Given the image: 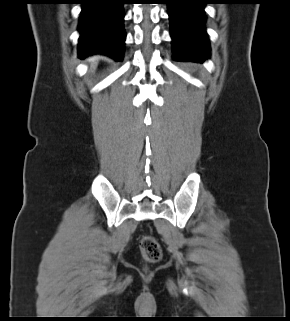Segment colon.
Instances as JSON below:
<instances>
[{"mask_svg": "<svg viewBox=\"0 0 290 321\" xmlns=\"http://www.w3.org/2000/svg\"><path fill=\"white\" fill-rule=\"evenodd\" d=\"M140 249L144 258L149 262H157L162 256L160 245L150 236H146L141 240Z\"/></svg>", "mask_w": 290, "mask_h": 321, "instance_id": "obj_1", "label": "colon"}]
</instances>
